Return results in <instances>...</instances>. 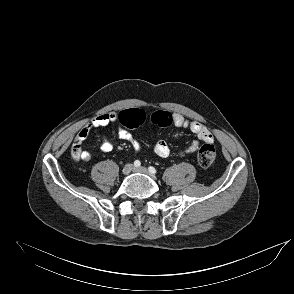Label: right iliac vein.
Instances as JSON below:
<instances>
[{"instance_id":"63e3f726","label":"right iliac vein","mask_w":294,"mask_h":294,"mask_svg":"<svg viewBox=\"0 0 294 294\" xmlns=\"http://www.w3.org/2000/svg\"><path fill=\"white\" fill-rule=\"evenodd\" d=\"M133 170V165L132 164H126L123 169H122V173L124 175H129L131 173V171Z\"/></svg>"}]
</instances>
